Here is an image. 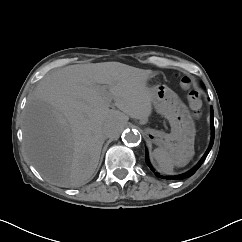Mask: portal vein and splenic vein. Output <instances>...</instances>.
Returning a JSON list of instances; mask_svg holds the SVG:
<instances>
[{
  "instance_id": "portal-vein-and-splenic-vein-1",
  "label": "portal vein and splenic vein",
  "mask_w": 242,
  "mask_h": 242,
  "mask_svg": "<svg viewBox=\"0 0 242 242\" xmlns=\"http://www.w3.org/2000/svg\"><path fill=\"white\" fill-rule=\"evenodd\" d=\"M101 91L102 92H105V87H101Z\"/></svg>"
}]
</instances>
